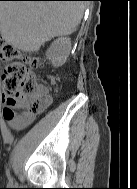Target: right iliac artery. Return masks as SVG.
Here are the masks:
<instances>
[{"instance_id": "right-iliac-artery-1", "label": "right iliac artery", "mask_w": 137, "mask_h": 189, "mask_svg": "<svg viewBox=\"0 0 137 189\" xmlns=\"http://www.w3.org/2000/svg\"><path fill=\"white\" fill-rule=\"evenodd\" d=\"M9 182H12V179H11V177L9 176Z\"/></svg>"}]
</instances>
